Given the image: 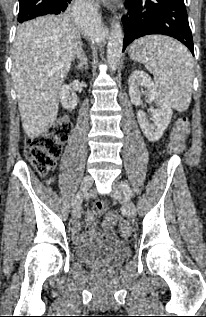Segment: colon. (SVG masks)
<instances>
[{"label":"colon","mask_w":206,"mask_h":317,"mask_svg":"<svg viewBox=\"0 0 206 317\" xmlns=\"http://www.w3.org/2000/svg\"><path fill=\"white\" fill-rule=\"evenodd\" d=\"M71 132V123L67 116L60 117L48 130L37 136L26 139L25 155L41 174H46L54 169L56 161L61 154L62 145L67 141ZM189 132V121L186 117L176 120L168 151L172 154L181 153L185 149V137ZM94 208L98 213H105L107 206L102 201H97ZM106 221L111 224L119 223L120 233L127 237L131 227L126 222H120L116 212L106 214Z\"/></svg>","instance_id":"obj_1"}]
</instances>
